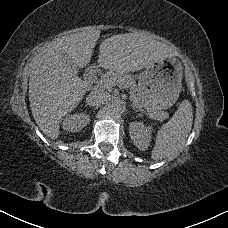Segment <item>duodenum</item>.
I'll return each mask as SVG.
<instances>
[{
    "label": "duodenum",
    "mask_w": 228,
    "mask_h": 228,
    "mask_svg": "<svg viewBox=\"0 0 228 228\" xmlns=\"http://www.w3.org/2000/svg\"><path fill=\"white\" fill-rule=\"evenodd\" d=\"M85 75H86V77H88V78H93V77H95V75H96V70H95V68H93V67H88V68H86V70H85Z\"/></svg>",
    "instance_id": "410a0bca"
}]
</instances>
